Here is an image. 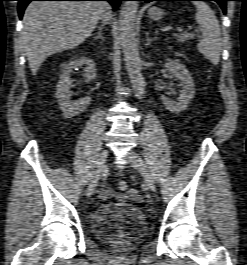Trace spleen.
I'll return each mask as SVG.
<instances>
[{
	"label": "spleen",
	"mask_w": 247,
	"mask_h": 265,
	"mask_svg": "<svg viewBox=\"0 0 247 265\" xmlns=\"http://www.w3.org/2000/svg\"><path fill=\"white\" fill-rule=\"evenodd\" d=\"M196 6L195 20L202 33V41L197 47L213 65H218L222 49L221 29L211 8L203 1L193 2Z\"/></svg>",
	"instance_id": "3e777b00"
}]
</instances>
